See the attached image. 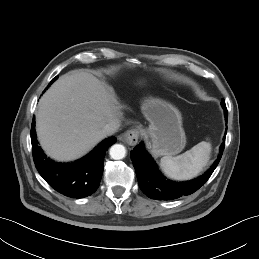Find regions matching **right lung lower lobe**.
Here are the masks:
<instances>
[{
  "label": "right lung lower lobe",
  "mask_w": 259,
  "mask_h": 259,
  "mask_svg": "<svg viewBox=\"0 0 259 259\" xmlns=\"http://www.w3.org/2000/svg\"><path fill=\"white\" fill-rule=\"evenodd\" d=\"M115 142V137H109L81 160L62 164L50 160L39 146L34 118L31 126L32 154L36 169L54 190L72 198H83L97 190L103 174L104 153Z\"/></svg>",
  "instance_id": "obj_1"
}]
</instances>
